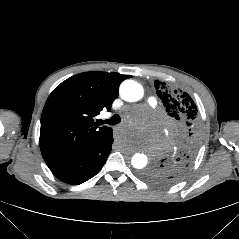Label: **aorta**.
I'll return each mask as SVG.
<instances>
[{
	"mask_svg": "<svg viewBox=\"0 0 239 239\" xmlns=\"http://www.w3.org/2000/svg\"><path fill=\"white\" fill-rule=\"evenodd\" d=\"M120 95L125 101L135 102L142 98L143 88L133 80H125L120 86ZM151 160V156L143 152H135L131 158V164L136 169L145 168Z\"/></svg>",
	"mask_w": 239,
	"mask_h": 239,
	"instance_id": "762f6f07",
	"label": "aorta"
}]
</instances>
